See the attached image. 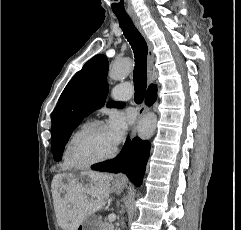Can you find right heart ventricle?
<instances>
[{
  "instance_id": "obj_1",
  "label": "right heart ventricle",
  "mask_w": 241,
  "mask_h": 230,
  "mask_svg": "<svg viewBox=\"0 0 241 230\" xmlns=\"http://www.w3.org/2000/svg\"><path fill=\"white\" fill-rule=\"evenodd\" d=\"M77 132V130H75L69 137L68 141L66 142V145L64 147L63 150V155H62V167L65 170H71L73 169V165L71 164V162L68 159V145L70 143L71 138L73 137V135Z\"/></svg>"
}]
</instances>
